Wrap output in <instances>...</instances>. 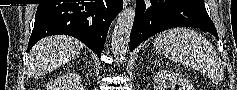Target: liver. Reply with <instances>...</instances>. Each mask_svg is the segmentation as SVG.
<instances>
[{
    "instance_id": "obj_1",
    "label": "liver",
    "mask_w": 237,
    "mask_h": 90,
    "mask_svg": "<svg viewBox=\"0 0 237 90\" xmlns=\"http://www.w3.org/2000/svg\"><path fill=\"white\" fill-rule=\"evenodd\" d=\"M84 44L71 36H48L37 42L30 50L28 72L30 74H45L59 68L66 62H71L81 54Z\"/></svg>"
}]
</instances>
